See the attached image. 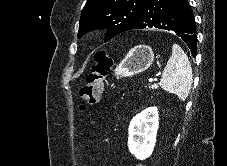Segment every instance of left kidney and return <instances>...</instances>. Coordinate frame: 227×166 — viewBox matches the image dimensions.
I'll return each instance as SVG.
<instances>
[{"instance_id":"1","label":"left kidney","mask_w":227,"mask_h":166,"mask_svg":"<svg viewBox=\"0 0 227 166\" xmlns=\"http://www.w3.org/2000/svg\"><path fill=\"white\" fill-rule=\"evenodd\" d=\"M159 127L157 107H149L137 114L128 129V148L139 160L150 157L156 143Z\"/></svg>"}]
</instances>
